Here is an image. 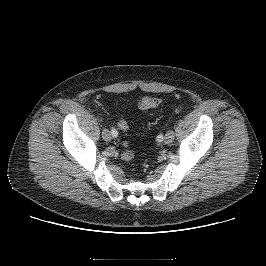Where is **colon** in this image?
I'll return each mask as SVG.
<instances>
[{
  "label": "colon",
  "mask_w": 266,
  "mask_h": 266,
  "mask_svg": "<svg viewBox=\"0 0 266 266\" xmlns=\"http://www.w3.org/2000/svg\"><path fill=\"white\" fill-rule=\"evenodd\" d=\"M159 103L157 97L153 95H145L141 97L137 103V106L140 110H149L155 108ZM118 128L122 132L129 131V125L126 121L121 120L118 122ZM122 158L126 161H131L134 158V152L129 148L127 142H123V151H122Z\"/></svg>",
  "instance_id": "obj_1"
}]
</instances>
